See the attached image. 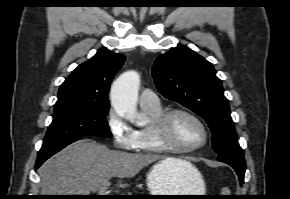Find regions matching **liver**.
<instances>
[{
  "label": "liver",
  "instance_id": "obj_1",
  "mask_svg": "<svg viewBox=\"0 0 290 199\" xmlns=\"http://www.w3.org/2000/svg\"><path fill=\"white\" fill-rule=\"evenodd\" d=\"M162 159V160H161ZM161 160L167 166L191 168L177 158L110 150L91 139H81L47 160L39 170L42 195H90L112 177L131 178L145 166ZM125 188L120 180L117 184Z\"/></svg>",
  "mask_w": 290,
  "mask_h": 199
}]
</instances>
